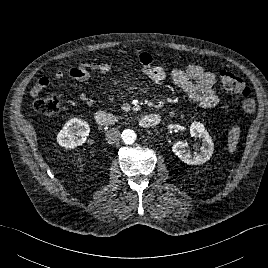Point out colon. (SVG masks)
<instances>
[{
	"mask_svg": "<svg viewBox=\"0 0 268 268\" xmlns=\"http://www.w3.org/2000/svg\"><path fill=\"white\" fill-rule=\"evenodd\" d=\"M220 81L226 92L240 95L243 98V109L247 113H253L256 110V102L251 95V89L236 74L221 70L219 73ZM61 106L59 97L47 95L34 100L33 109L46 117L56 114Z\"/></svg>",
	"mask_w": 268,
	"mask_h": 268,
	"instance_id": "obj_1",
	"label": "colon"
}]
</instances>
